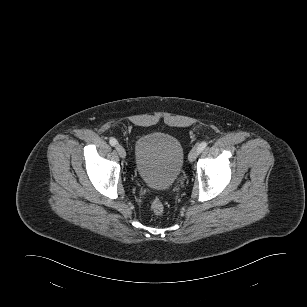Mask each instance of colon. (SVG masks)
Masks as SVG:
<instances>
[{
  "label": "colon",
  "instance_id": "colon-1",
  "mask_svg": "<svg viewBox=\"0 0 307 307\" xmlns=\"http://www.w3.org/2000/svg\"><path fill=\"white\" fill-rule=\"evenodd\" d=\"M151 210L154 214L160 215L164 211V204L159 198H155L151 203Z\"/></svg>",
  "mask_w": 307,
  "mask_h": 307
}]
</instances>
